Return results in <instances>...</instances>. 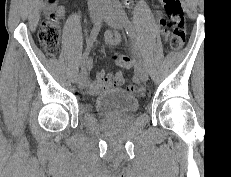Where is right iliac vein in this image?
<instances>
[{
    "mask_svg": "<svg viewBox=\"0 0 231 177\" xmlns=\"http://www.w3.org/2000/svg\"><path fill=\"white\" fill-rule=\"evenodd\" d=\"M100 16H101V12L99 8H94L90 13L91 20L94 23H96L100 19ZM86 83H87V71L86 69H83L77 78V84L80 88H83L86 86Z\"/></svg>",
    "mask_w": 231,
    "mask_h": 177,
    "instance_id": "63e3f726",
    "label": "right iliac vein"
}]
</instances>
